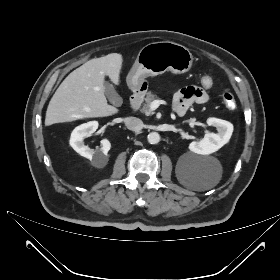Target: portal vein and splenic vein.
<instances>
[{"label":"portal vein and splenic vein","mask_w":280,"mask_h":280,"mask_svg":"<svg viewBox=\"0 0 280 280\" xmlns=\"http://www.w3.org/2000/svg\"><path fill=\"white\" fill-rule=\"evenodd\" d=\"M160 105V101L159 100H154L151 104H150V110L154 111L156 110Z\"/></svg>","instance_id":"18ae733b"}]
</instances>
